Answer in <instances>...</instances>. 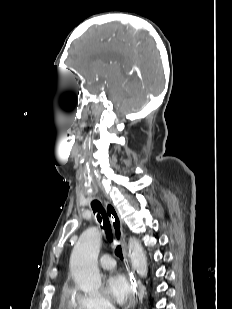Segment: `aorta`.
I'll list each match as a JSON object with an SVG mask.
<instances>
[{
	"mask_svg": "<svg viewBox=\"0 0 232 309\" xmlns=\"http://www.w3.org/2000/svg\"><path fill=\"white\" fill-rule=\"evenodd\" d=\"M101 246V233L95 227L84 231L71 254L70 266L74 281L85 292H93L101 287V275L98 268V255ZM128 255L134 270L146 277L148 271L147 256L139 241L129 240Z\"/></svg>",
	"mask_w": 232,
	"mask_h": 309,
	"instance_id": "aorta-1",
	"label": "aorta"
}]
</instances>
